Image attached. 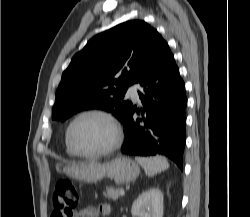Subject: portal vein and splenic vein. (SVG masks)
<instances>
[{
	"label": "portal vein and splenic vein",
	"instance_id": "18ae733b",
	"mask_svg": "<svg viewBox=\"0 0 250 217\" xmlns=\"http://www.w3.org/2000/svg\"><path fill=\"white\" fill-rule=\"evenodd\" d=\"M124 194H125V191H124V190H121V191H120V195L123 196Z\"/></svg>",
	"mask_w": 250,
	"mask_h": 217
}]
</instances>
